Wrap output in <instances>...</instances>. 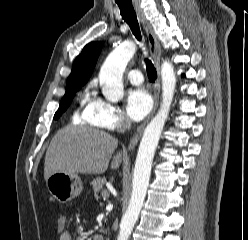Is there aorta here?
<instances>
[{
    "label": "aorta",
    "mask_w": 248,
    "mask_h": 240,
    "mask_svg": "<svg viewBox=\"0 0 248 240\" xmlns=\"http://www.w3.org/2000/svg\"><path fill=\"white\" fill-rule=\"evenodd\" d=\"M136 52L133 42H125L113 50L103 63L99 80L108 101L118 102L124 96L123 72ZM162 103L158 113L146 126L135 162L132 195L121 219L117 240H128L143 206L152 168V161L160 135L167 120L176 86L173 66L165 61L161 66Z\"/></svg>",
    "instance_id": "obj_1"
}]
</instances>
